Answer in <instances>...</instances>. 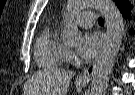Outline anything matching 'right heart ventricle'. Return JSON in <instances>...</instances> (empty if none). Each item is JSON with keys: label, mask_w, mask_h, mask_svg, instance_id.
I'll return each instance as SVG.
<instances>
[{"label": "right heart ventricle", "mask_w": 135, "mask_h": 95, "mask_svg": "<svg viewBox=\"0 0 135 95\" xmlns=\"http://www.w3.org/2000/svg\"><path fill=\"white\" fill-rule=\"evenodd\" d=\"M67 57V47L59 36V24L47 25L35 43V59L40 67L56 68Z\"/></svg>", "instance_id": "e07e8e85"}]
</instances>
